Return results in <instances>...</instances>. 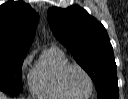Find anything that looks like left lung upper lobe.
Masks as SVG:
<instances>
[{
    "label": "left lung upper lobe",
    "instance_id": "left-lung-upper-lobe-1",
    "mask_svg": "<svg viewBox=\"0 0 128 99\" xmlns=\"http://www.w3.org/2000/svg\"><path fill=\"white\" fill-rule=\"evenodd\" d=\"M48 22L55 37L95 83L98 99L118 92L117 67L104 26L78 5L50 8Z\"/></svg>",
    "mask_w": 128,
    "mask_h": 99
}]
</instances>
